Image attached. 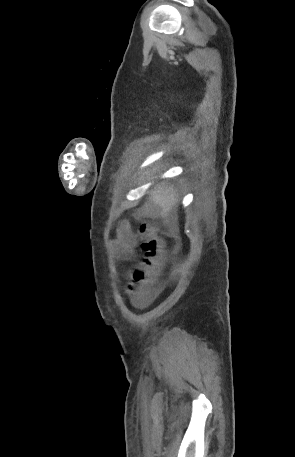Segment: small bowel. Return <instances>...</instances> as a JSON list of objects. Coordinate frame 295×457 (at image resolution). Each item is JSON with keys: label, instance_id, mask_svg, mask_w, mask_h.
<instances>
[{"label": "small bowel", "instance_id": "obj_1", "mask_svg": "<svg viewBox=\"0 0 295 457\" xmlns=\"http://www.w3.org/2000/svg\"><path fill=\"white\" fill-rule=\"evenodd\" d=\"M136 244L137 238L135 233L132 231L130 224L126 221L121 222L117 229L116 239L113 241L115 253L120 257L129 258L132 255ZM161 290V285L151 284L145 289L143 296L135 300L140 304L148 303L155 298Z\"/></svg>", "mask_w": 295, "mask_h": 457}]
</instances>
